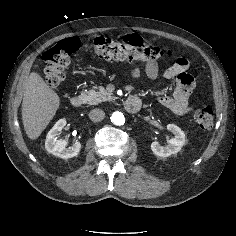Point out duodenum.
<instances>
[{
    "label": "duodenum",
    "instance_id": "duodenum-1",
    "mask_svg": "<svg viewBox=\"0 0 236 236\" xmlns=\"http://www.w3.org/2000/svg\"><path fill=\"white\" fill-rule=\"evenodd\" d=\"M70 103L74 108H79L83 104V98L81 96H73L70 99ZM141 105V100L137 96L129 97L124 103V107L129 113L138 112L141 108Z\"/></svg>",
    "mask_w": 236,
    "mask_h": 236
}]
</instances>
